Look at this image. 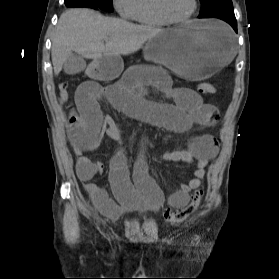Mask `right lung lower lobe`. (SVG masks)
<instances>
[{"label": "right lung lower lobe", "instance_id": "1", "mask_svg": "<svg viewBox=\"0 0 279 279\" xmlns=\"http://www.w3.org/2000/svg\"><path fill=\"white\" fill-rule=\"evenodd\" d=\"M64 3L67 7H88L93 9L98 8L95 4L88 0H65Z\"/></svg>", "mask_w": 279, "mask_h": 279}]
</instances>
